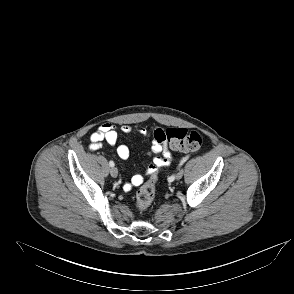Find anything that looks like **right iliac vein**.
<instances>
[{
    "instance_id": "63e3f726",
    "label": "right iliac vein",
    "mask_w": 294,
    "mask_h": 294,
    "mask_svg": "<svg viewBox=\"0 0 294 294\" xmlns=\"http://www.w3.org/2000/svg\"><path fill=\"white\" fill-rule=\"evenodd\" d=\"M110 175L114 178L118 176V169L117 168H111L110 169Z\"/></svg>"
}]
</instances>
